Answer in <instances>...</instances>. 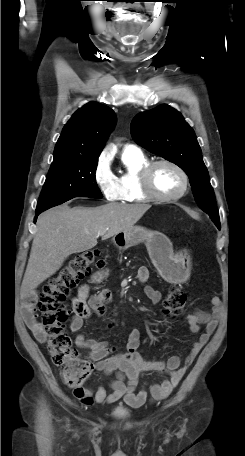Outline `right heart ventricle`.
Wrapping results in <instances>:
<instances>
[{"label": "right heart ventricle", "instance_id": "1", "mask_svg": "<svg viewBox=\"0 0 245 456\" xmlns=\"http://www.w3.org/2000/svg\"><path fill=\"white\" fill-rule=\"evenodd\" d=\"M122 162L125 172L116 177L119 190V200L126 203L144 202L149 198L142 192L139 173L149 160L142 152H123Z\"/></svg>", "mask_w": 245, "mask_h": 456}]
</instances>
